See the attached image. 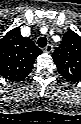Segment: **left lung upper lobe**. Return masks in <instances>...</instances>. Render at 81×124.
Instances as JSON below:
<instances>
[{
  "label": "left lung upper lobe",
  "mask_w": 81,
  "mask_h": 124,
  "mask_svg": "<svg viewBox=\"0 0 81 124\" xmlns=\"http://www.w3.org/2000/svg\"><path fill=\"white\" fill-rule=\"evenodd\" d=\"M53 60L61 76L71 82L81 81V36L66 32L53 53Z\"/></svg>",
  "instance_id": "5c2ea615"
}]
</instances>
